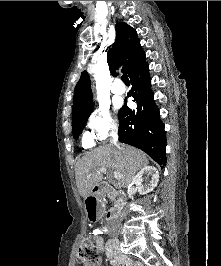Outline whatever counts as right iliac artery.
<instances>
[{"mask_svg": "<svg viewBox=\"0 0 221 266\" xmlns=\"http://www.w3.org/2000/svg\"><path fill=\"white\" fill-rule=\"evenodd\" d=\"M93 233H94L95 235H97V234H101V232H100L99 230H95Z\"/></svg>", "mask_w": 221, "mask_h": 266, "instance_id": "right-iliac-artery-1", "label": "right iliac artery"}]
</instances>
